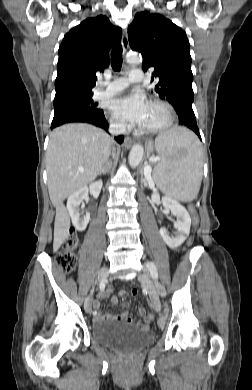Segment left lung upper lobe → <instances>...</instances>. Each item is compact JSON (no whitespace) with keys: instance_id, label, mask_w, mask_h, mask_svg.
Listing matches in <instances>:
<instances>
[{"instance_id":"obj_1","label":"left lung upper lobe","mask_w":252,"mask_h":390,"mask_svg":"<svg viewBox=\"0 0 252 390\" xmlns=\"http://www.w3.org/2000/svg\"><path fill=\"white\" fill-rule=\"evenodd\" d=\"M128 40L132 50L143 55L142 69L154 68V92L175 109L180 104L192 106L193 74L186 33L169 19L144 11L137 13L128 27Z\"/></svg>"}]
</instances>
